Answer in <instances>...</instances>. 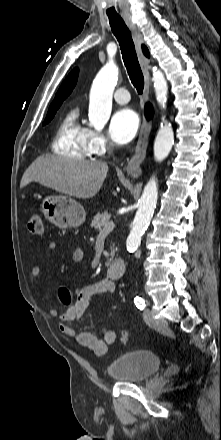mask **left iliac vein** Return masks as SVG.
<instances>
[{"mask_svg": "<svg viewBox=\"0 0 221 440\" xmlns=\"http://www.w3.org/2000/svg\"><path fill=\"white\" fill-rule=\"evenodd\" d=\"M144 320L145 322L153 328H164L167 325V322L164 318L155 319L153 317L152 312L149 309H145L144 313Z\"/></svg>", "mask_w": 221, "mask_h": 440, "instance_id": "left-iliac-vein-1", "label": "left iliac vein"}]
</instances>
